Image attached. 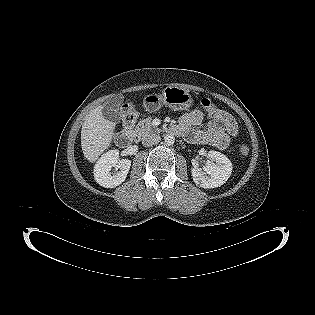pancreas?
Segmentation results:
<instances>
[{"instance_id":"obj_1","label":"pancreas","mask_w":315,"mask_h":315,"mask_svg":"<svg viewBox=\"0 0 315 315\" xmlns=\"http://www.w3.org/2000/svg\"><path fill=\"white\" fill-rule=\"evenodd\" d=\"M158 128H156L151 119H143L141 120L134 130H132V137L143 139L148 136L152 132H158Z\"/></svg>"}]
</instances>
